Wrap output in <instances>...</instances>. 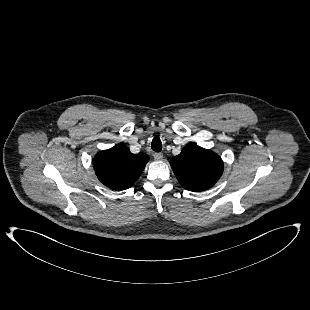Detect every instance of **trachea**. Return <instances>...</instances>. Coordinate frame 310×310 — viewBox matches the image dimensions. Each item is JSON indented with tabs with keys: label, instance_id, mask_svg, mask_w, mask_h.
<instances>
[{
	"label": "trachea",
	"instance_id": "1",
	"mask_svg": "<svg viewBox=\"0 0 310 310\" xmlns=\"http://www.w3.org/2000/svg\"><path fill=\"white\" fill-rule=\"evenodd\" d=\"M151 148L155 152H160L162 150V142L158 136L153 138Z\"/></svg>",
	"mask_w": 310,
	"mask_h": 310
}]
</instances>
